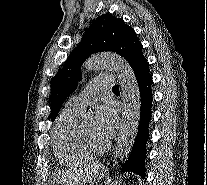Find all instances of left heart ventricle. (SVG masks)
Segmentation results:
<instances>
[{"label":"left heart ventricle","mask_w":207,"mask_h":185,"mask_svg":"<svg viewBox=\"0 0 207 185\" xmlns=\"http://www.w3.org/2000/svg\"><path fill=\"white\" fill-rule=\"evenodd\" d=\"M82 127L87 136L92 138L97 145H101L106 141V139L97 132L93 120L84 122Z\"/></svg>","instance_id":"b2bd125f"}]
</instances>
